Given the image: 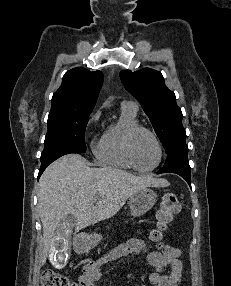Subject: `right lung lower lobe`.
I'll return each mask as SVG.
<instances>
[{"mask_svg":"<svg viewBox=\"0 0 231 286\" xmlns=\"http://www.w3.org/2000/svg\"><path fill=\"white\" fill-rule=\"evenodd\" d=\"M69 153H76V152H72V151H67V152H62V153H57V154H54L53 156L45 159V160H42L41 161V167H40V171H39V174H38V179L40 177V175L43 173V171L45 170V168L50 164L52 163L53 161H55L56 159H58L59 157L65 155V154H69Z\"/></svg>","mask_w":231,"mask_h":286,"instance_id":"right-lung-lower-lobe-1","label":"right lung lower lobe"}]
</instances>
